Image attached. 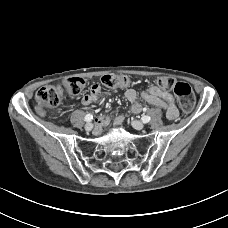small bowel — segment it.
I'll return each mask as SVG.
<instances>
[{"label": "small bowel", "mask_w": 228, "mask_h": 228, "mask_svg": "<svg viewBox=\"0 0 228 228\" xmlns=\"http://www.w3.org/2000/svg\"><path fill=\"white\" fill-rule=\"evenodd\" d=\"M100 96L101 88L98 85H94L92 86L90 93L83 97L82 104L85 106H90L97 102ZM125 98L129 102L133 103L131 106V110L133 113H140L142 111V106L136 102L138 98H141L151 105L158 106L164 109L166 112V117L169 120H174L179 115V111L177 109L173 95L167 90L157 86H149L140 91L131 88L127 89L125 91ZM111 120L112 118L110 115H103L98 119V125H107L110 123ZM122 121V115H119L115 118L116 124H121Z\"/></svg>", "instance_id": "c3829d8e"}]
</instances>
